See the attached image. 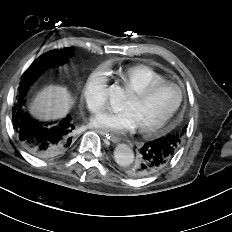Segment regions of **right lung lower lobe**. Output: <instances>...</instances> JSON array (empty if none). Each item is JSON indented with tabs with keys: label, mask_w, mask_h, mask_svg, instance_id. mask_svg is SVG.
Listing matches in <instances>:
<instances>
[{
	"label": "right lung lower lobe",
	"mask_w": 232,
	"mask_h": 232,
	"mask_svg": "<svg viewBox=\"0 0 232 232\" xmlns=\"http://www.w3.org/2000/svg\"><path fill=\"white\" fill-rule=\"evenodd\" d=\"M31 86V85H30ZM30 86L19 88L13 107V125L21 145L39 158H51L65 153L72 146L75 126L71 116L57 122H40L22 109Z\"/></svg>",
	"instance_id": "right-lung-lower-lobe-1"
}]
</instances>
